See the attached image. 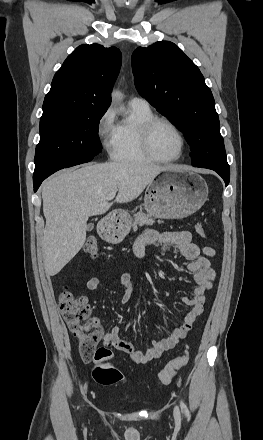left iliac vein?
<instances>
[{"mask_svg":"<svg viewBox=\"0 0 263 440\" xmlns=\"http://www.w3.org/2000/svg\"><path fill=\"white\" fill-rule=\"evenodd\" d=\"M174 417H175L176 421L180 420V413H179L178 407H175V409H174Z\"/></svg>","mask_w":263,"mask_h":440,"instance_id":"obj_1","label":"left iliac vein"}]
</instances>
